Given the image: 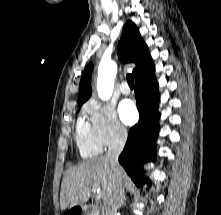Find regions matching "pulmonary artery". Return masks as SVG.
Returning <instances> with one entry per match:
<instances>
[{
    "mask_svg": "<svg viewBox=\"0 0 221 215\" xmlns=\"http://www.w3.org/2000/svg\"><path fill=\"white\" fill-rule=\"evenodd\" d=\"M120 91L124 94V95H128L130 93V88L128 86V84L126 82H123L120 85Z\"/></svg>",
    "mask_w": 221,
    "mask_h": 215,
    "instance_id": "1",
    "label": "pulmonary artery"
}]
</instances>
